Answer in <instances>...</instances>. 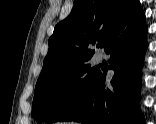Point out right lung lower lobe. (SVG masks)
<instances>
[{
	"label": "right lung lower lobe",
	"mask_w": 156,
	"mask_h": 124,
	"mask_svg": "<svg viewBox=\"0 0 156 124\" xmlns=\"http://www.w3.org/2000/svg\"><path fill=\"white\" fill-rule=\"evenodd\" d=\"M147 28L131 30L107 50L111 53L112 87L101 72L81 99L59 121L87 124H143L139 110L140 75L147 48Z\"/></svg>",
	"instance_id": "98d812e1"
}]
</instances>
